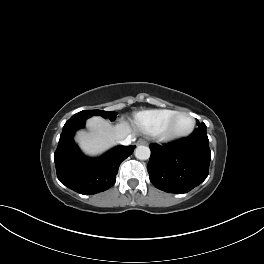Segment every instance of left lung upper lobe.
<instances>
[{
	"label": "left lung upper lobe",
	"mask_w": 264,
	"mask_h": 264,
	"mask_svg": "<svg viewBox=\"0 0 264 264\" xmlns=\"http://www.w3.org/2000/svg\"><path fill=\"white\" fill-rule=\"evenodd\" d=\"M197 125H198V127H201V128H206V125L204 124V123H199L198 121H197Z\"/></svg>",
	"instance_id": "5c2ea615"
}]
</instances>
